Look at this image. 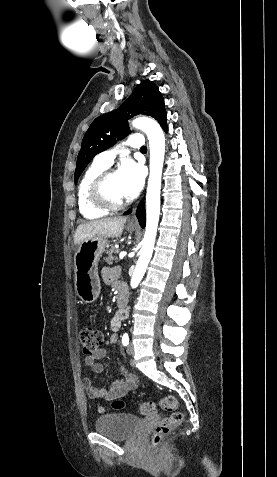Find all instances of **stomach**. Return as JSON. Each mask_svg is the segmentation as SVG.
Masks as SVG:
<instances>
[{
  "mask_svg": "<svg viewBox=\"0 0 277 477\" xmlns=\"http://www.w3.org/2000/svg\"><path fill=\"white\" fill-rule=\"evenodd\" d=\"M134 226H127L133 232ZM108 246L106 237L93 236L83 240L74 256V285L75 292L83 303L94 302L100 294V281L97 274V265L102 253Z\"/></svg>",
  "mask_w": 277,
  "mask_h": 477,
  "instance_id": "obj_1",
  "label": "stomach"
}]
</instances>
